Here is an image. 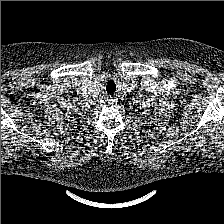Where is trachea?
<instances>
[{"label": "trachea", "mask_w": 224, "mask_h": 224, "mask_svg": "<svg viewBox=\"0 0 224 224\" xmlns=\"http://www.w3.org/2000/svg\"><path fill=\"white\" fill-rule=\"evenodd\" d=\"M116 91V84L114 83V81L110 80L107 82L106 85V92L108 94H113Z\"/></svg>", "instance_id": "3493384b"}]
</instances>
